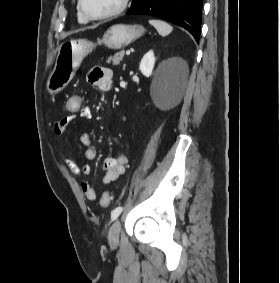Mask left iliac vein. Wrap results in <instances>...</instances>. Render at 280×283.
<instances>
[{
    "label": "left iliac vein",
    "instance_id": "1",
    "mask_svg": "<svg viewBox=\"0 0 280 283\" xmlns=\"http://www.w3.org/2000/svg\"><path fill=\"white\" fill-rule=\"evenodd\" d=\"M120 230H121V223H120L119 220H116L112 224V226L109 230V234H108V240H109V244L111 246H117L118 245Z\"/></svg>",
    "mask_w": 280,
    "mask_h": 283
}]
</instances>
